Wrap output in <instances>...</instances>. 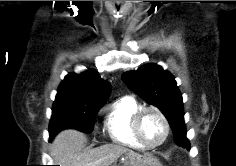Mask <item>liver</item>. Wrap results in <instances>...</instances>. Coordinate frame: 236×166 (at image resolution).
Masks as SVG:
<instances>
[{"instance_id": "1", "label": "liver", "mask_w": 236, "mask_h": 166, "mask_svg": "<svg viewBox=\"0 0 236 166\" xmlns=\"http://www.w3.org/2000/svg\"><path fill=\"white\" fill-rule=\"evenodd\" d=\"M85 142V135L77 130L61 131L51 145L54 162L60 166H111L124 155V163L132 166H142L147 163L146 156L116 144H106L81 152Z\"/></svg>"}]
</instances>
